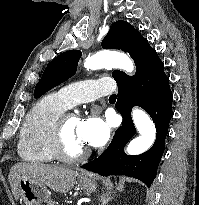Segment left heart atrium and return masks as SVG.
I'll return each instance as SVG.
<instances>
[{"label": "left heart atrium", "mask_w": 199, "mask_h": 205, "mask_svg": "<svg viewBox=\"0 0 199 205\" xmlns=\"http://www.w3.org/2000/svg\"><path fill=\"white\" fill-rule=\"evenodd\" d=\"M110 131V122L98 116L80 120L78 129L79 136L84 144L94 147L104 145L110 137Z\"/></svg>", "instance_id": "39dd6f15"}]
</instances>
